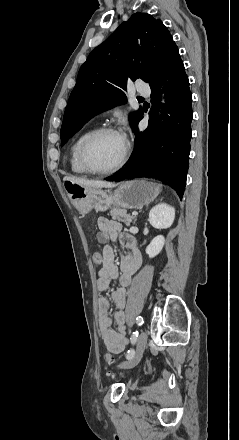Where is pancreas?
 I'll use <instances>...</instances> for the list:
<instances>
[{
	"instance_id": "1",
	"label": "pancreas",
	"mask_w": 239,
	"mask_h": 440,
	"mask_svg": "<svg viewBox=\"0 0 239 440\" xmlns=\"http://www.w3.org/2000/svg\"><path fill=\"white\" fill-rule=\"evenodd\" d=\"M109 214L112 216V220L124 222L126 226H130L132 220L136 218V216H130V214H127L126 210H118V208H111Z\"/></svg>"
}]
</instances>
